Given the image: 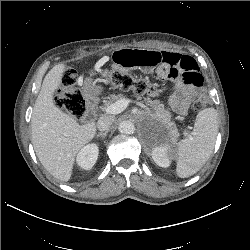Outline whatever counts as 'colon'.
Instances as JSON below:
<instances>
[{"label":"colon","instance_id":"1","mask_svg":"<svg viewBox=\"0 0 250 250\" xmlns=\"http://www.w3.org/2000/svg\"><path fill=\"white\" fill-rule=\"evenodd\" d=\"M103 80L110 86L122 90H132L138 94L155 96L159 94L158 88L143 79H136L131 75L123 74L116 70H104L101 73ZM76 74L67 69L63 72L60 86L55 93L56 104L75 117H82L86 112V104L80 91L75 87ZM209 103V97L205 92L198 95L193 103V109L200 111Z\"/></svg>","mask_w":250,"mask_h":250}]
</instances>
